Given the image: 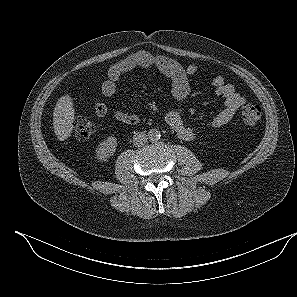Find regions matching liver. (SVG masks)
I'll list each match as a JSON object with an SVG mask.
<instances>
[{
    "label": "liver",
    "mask_w": 297,
    "mask_h": 297,
    "mask_svg": "<svg viewBox=\"0 0 297 297\" xmlns=\"http://www.w3.org/2000/svg\"><path fill=\"white\" fill-rule=\"evenodd\" d=\"M74 116L75 111L70 95L60 97L53 112L54 132L60 141H65L71 136Z\"/></svg>",
    "instance_id": "1"
}]
</instances>
